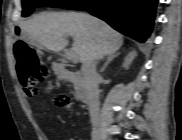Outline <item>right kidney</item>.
Masks as SVG:
<instances>
[{
  "instance_id": "right-kidney-1",
  "label": "right kidney",
  "mask_w": 182,
  "mask_h": 140,
  "mask_svg": "<svg viewBox=\"0 0 182 140\" xmlns=\"http://www.w3.org/2000/svg\"><path fill=\"white\" fill-rule=\"evenodd\" d=\"M135 56H136V52H134V51L127 55V57L125 58L124 64H123V67L125 69L129 68V66L131 65V63H132L133 59L135 58Z\"/></svg>"
}]
</instances>
